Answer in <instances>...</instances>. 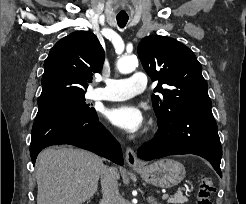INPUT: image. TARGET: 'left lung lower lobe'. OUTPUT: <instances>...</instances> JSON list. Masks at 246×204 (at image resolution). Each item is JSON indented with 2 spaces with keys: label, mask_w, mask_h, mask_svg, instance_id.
Listing matches in <instances>:
<instances>
[{
  "label": "left lung lower lobe",
  "mask_w": 246,
  "mask_h": 204,
  "mask_svg": "<svg viewBox=\"0 0 246 204\" xmlns=\"http://www.w3.org/2000/svg\"><path fill=\"white\" fill-rule=\"evenodd\" d=\"M158 126L155 137L139 148V158L152 160L176 154H195L207 159L222 177V147L211 109L177 112Z\"/></svg>",
  "instance_id": "obj_1"
}]
</instances>
